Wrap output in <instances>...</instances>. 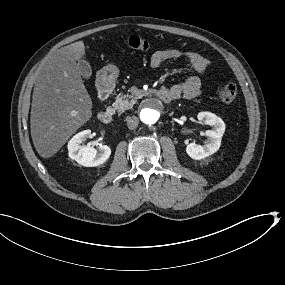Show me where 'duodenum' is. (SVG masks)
Listing matches in <instances>:
<instances>
[{
  "instance_id": "1",
  "label": "duodenum",
  "mask_w": 285,
  "mask_h": 285,
  "mask_svg": "<svg viewBox=\"0 0 285 285\" xmlns=\"http://www.w3.org/2000/svg\"><path fill=\"white\" fill-rule=\"evenodd\" d=\"M112 90V85L109 81H101L98 87L99 98L104 101L108 98ZM156 95L164 102H169L175 99V95L170 89L160 88L155 91ZM113 109L106 107L98 113V118L103 123L111 122L113 118Z\"/></svg>"
}]
</instances>
